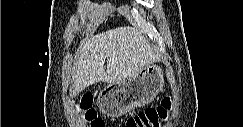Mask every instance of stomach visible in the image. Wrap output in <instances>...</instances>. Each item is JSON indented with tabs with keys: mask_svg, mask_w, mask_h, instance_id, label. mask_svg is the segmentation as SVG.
<instances>
[{
	"mask_svg": "<svg viewBox=\"0 0 243 127\" xmlns=\"http://www.w3.org/2000/svg\"><path fill=\"white\" fill-rule=\"evenodd\" d=\"M162 67L156 63L145 67L136 77L108 84L98 95L101 112L120 117L132 109L149 104L163 90Z\"/></svg>",
	"mask_w": 243,
	"mask_h": 127,
	"instance_id": "stomach-1",
	"label": "stomach"
}]
</instances>
